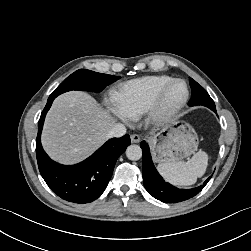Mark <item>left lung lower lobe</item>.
Instances as JSON below:
<instances>
[{"instance_id": "left-lung-lower-lobe-1", "label": "left lung lower lobe", "mask_w": 251, "mask_h": 251, "mask_svg": "<svg viewBox=\"0 0 251 251\" xmlns=\"http://www.w3.org/2000/svg\"><path fill=\"white\" fill-rule=\"evenodd\" d=\"M213 111L217 114L216 109H213ZM140 147L143 150L142 173L144 186L149 194L162 202L177 203L188 200L197 195L211 178L209 177L202 185L196 188L178 189L165 182L159 175L152 162L148 144L143 141Z\"/></svg>"}]
</instances>
